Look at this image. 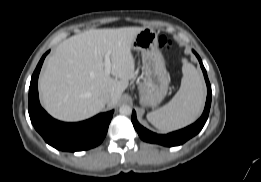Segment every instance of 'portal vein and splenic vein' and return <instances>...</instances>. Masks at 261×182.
<instances>
[{"instance_id":"1","label":"portal vein and splenic vein","mask_w":261,"mask_h":182,"mask_svg":"<svg viewBox=\"0 0 261 182\" xmlns=\"http://www.w3.org/2000/svg\"><path fill=\"white\" fill-rule=\"evenodd\" d=\"M111 67H112V64H111V60H110V57H109V54H105L104 56V68H105V73L107 75L110 74L111 72Z\"/></svg>"}]
</instances>
